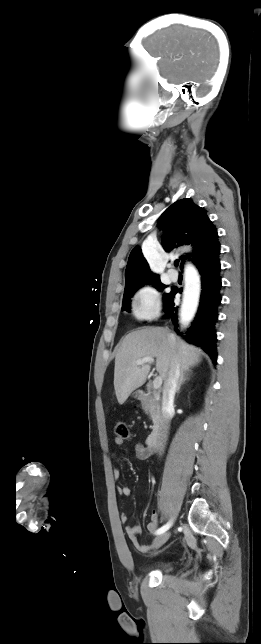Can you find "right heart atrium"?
Returning <instances> with one entry per match:
<instances>
[{"instance_id": "right-heart-atrium-1", "label": "right heart atrium", "mask_w": 261, "mask_h": 644, "mask_svg": "<svg viewBox=\"0 0 261 644\" xmlns=\"http://www.w3.org/2000/svg\"><path fill=\"white\" fill-rule=\"evenodd\" d=\"M133 310L138 319L150 320L156 317L161 310L158 291L152 286L140 288L133 298Z\"/></svg>"}]
</instances>
